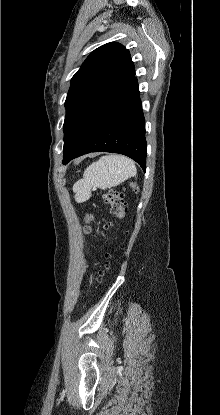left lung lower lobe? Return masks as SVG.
<instances>
[{
	"label": "left lung lower lobe",
	"instance_id": "1",
	"mask_svg": "<svg viewBox=\"0 0 220 415\" xmlns=\"http://www.w3.org/2000/svg\"><path fill=\"white\" fill-rule=\"evenodd\" d=\"M100 151L126 155L146 171L145 118L134 76L113 81L101 93L64 152L63 164Z\"/></svg>",
	"mask_w": 220,
	"mask_h": 415
}]
</instances>
